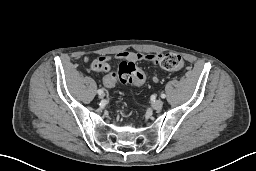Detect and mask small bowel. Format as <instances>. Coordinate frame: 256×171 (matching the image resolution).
<instances>
[{
	"instance_id": "obj_1",
	"label": "small bowel",
	"mask_w": 256,
	"mask_h": 171,
	"mask_svg": "<svg viewBox=\"0 0 256 171\" xmlns=\"http://www.w3.org/2000/svg\"><path fill=\"white\" fill-rule=\"evenodd\" d=\"M117 59L130 61H147L153 64H159L161 54H145L141 52L121 51L116 55ZM106 59H109L108 57ZM151 80L155 83L159 81L157 74L151 76ZM103 83L106 87L111 88L115 85V80L111 75H106L103 78Z\"/></svg>"
}]
</instances>
